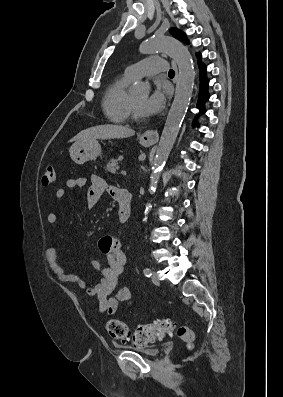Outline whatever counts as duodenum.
<instances>
[{
  "label": "duodenum",
  "mask_w": 283,
  "mask_h": 397,
  "mask_svg": "<svg viewBox=\"0 0 283 397\" xmlns=\"http://www.w3.org/2000/svg\"><path fill=\"white\" fill-rule=\"evenodd\" d=\"M119 219L121 222H126L132 212V196L128 191L122 192L119 201Z\"/></svg>",
  "instance_id": "obj_1"
}]
</instances>
